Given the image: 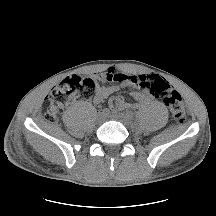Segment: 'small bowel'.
I'll use <instances>...</instances> for the list:
<instances>
[{"label": "small bowel", "instance_id": "obj_1", "mask_svg": "<svg viewBox=\"0 0 216 216\" xmlns=\"http://www.w3.org/2000/svg\"><path fill=\"white\" fill-rule=\"evenodd\" d=\"M97 77L103 83L114 84L111 86H100L97 95L94 97L95 103H102L113 93L117 92L119 88H130L132 90V96L138 101V103L130 104L125 102L122 97H112L110 98V106L114 110L136 107L141 103L151 101L154 95L146 84L155 80H163L161 77L156 75H129L112 68L100 73Z\"/></svg>", "mask_w": 216, "mask_h": 216}]
</instances>
